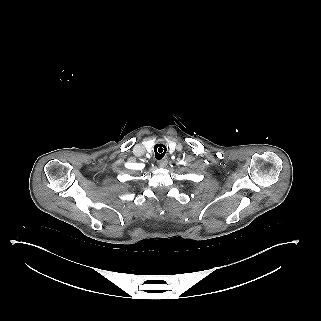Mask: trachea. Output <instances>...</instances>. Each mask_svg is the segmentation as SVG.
Listing matches in <instances>:
<instances>
[{
    "label": "trachea",
    "mask_w": 321,
    "mask_h": 321,
    "mask_svg": "<svg viewBox=\"0 0 321 321\" xmlns=\"http://www.w3.org/2000/svg\"><path fill=\"white\" fill-rule=\"evenodd\" d=\"M151 152H152L153 156H155L157 159H162L163 156H165L167 149H166L165 145H163L161 143H157V144L153 145Z\"/></svg>",
    "instance_id": "1"
}]
</instances>
